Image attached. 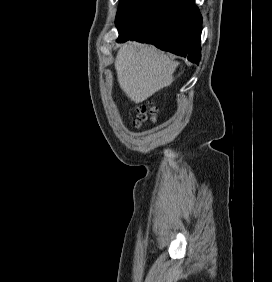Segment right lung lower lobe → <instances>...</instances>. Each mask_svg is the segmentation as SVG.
Listing matches in <instances>:
<instances>
[{
  "mask_svg": "<svg viewBox=\"0 0 272 282\" xmlns=\"http://www.w3.org/2000/svg\"><path fill=\"white\" fill-rule=\"evenodd\" d=\"M201 25L194 0H140L117 22V42L153 44L196 63L201 58Z\"/></svg>",
  "mask_w": 272,
  "mask_h": 282,
  "instance_id": "98d812e1",
  "label": "right lung lower lobe"
}]
</instances>
